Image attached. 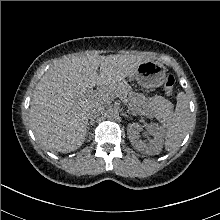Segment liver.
<instances>
[{
  "instance_id": "1",
  "label": "liver",
  "mask_w": 220,
  "mask_h": 220,
  "mask_svg": "<svg viewBox=\"0 0 220 220\" xmlns=\"http://www.w3.org/2000/svg\"><path fill=\"white\" fill-rule=\"evenodd\" d=\"M144 61L136 55H79L52 65L36 85L30 103L37 138L62 153L81 147L91 109L106 104L109 92L117 93L124 78ZM95 86L98 95L89 98L86 92Z\"/></svg>"
}]
</instances>
